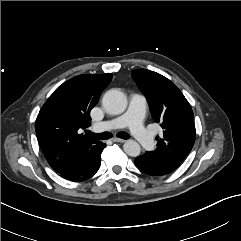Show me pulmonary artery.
Returning a JSON list of instances; mask_svg holds the SVG:
<instances>
[{"label":"pulmonary artery","mask_w":241,"mask_h":241,"mask_svg":"<svg viewBox=\"0 0 241 241\" xmlns=\"http://www.w3.org/2000/svg\"><path fill=\"white\" fill-rule=\"evenodd\" d=\"M146 111V99L142 94L135 93L130 98L128 111L121 117L104 121L95 129L111 130L128 127L131 134L146 149H151L155 141L151 133L144 127L143 118Z\"/></svg>","instance_id":"obj_1"}]
</instances>
